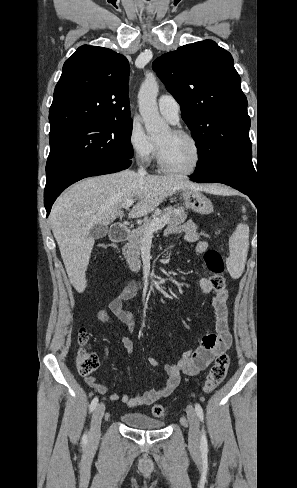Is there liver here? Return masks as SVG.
Segmentation results:
<instances>
[{
  "label": "liver",
  "instance_id": "liver-1",
  "mask_svg": "<svg viewBox=\"0 0 297 488\" xmlns=\"http://www.w3.org/2000/svg\"><path fill=\"white\" fill-rule=\"evenodd\" d=\"M211 191L212 186L194 184L181 176H140L133 170L87 178L71 186L54 203L49 219L69 280L77 292H84L86 270L94 238L95 224L108 225L122 216L121 205L138 198L129 217L151 213L163 200L178 190Z\"/></svg>",
  "mask_w": 297,
  "mask_h": 488
}]
</instances>
